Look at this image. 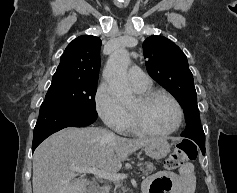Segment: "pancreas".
I'll use <instances>...</instances> for the list:
<instances>
[{
	"label": "pancreas",
	"instance_id": "obj_1",
	"mask_svg": "<svg viewBox=\"0 0 237 193\" xmlns=\"http://www.w3.org/2000/svg\"><path fill=\"white\" fill-rule=\"evenodd\" d=\"M145 167L144 166H142L141 167V171L147 176V175H149L151 172H153V171H155V167H154V165H153V163H151V162H146L145 164ZM122 187V185L120 184V183H116L115 184V188H114V193H117V189L118 188H121ZM119 193H121L120 191H119Z\"/></svg>",
	"mask_w": 237,
	"mask_h": 193
}]
</instances>
